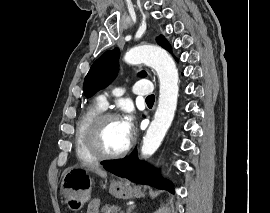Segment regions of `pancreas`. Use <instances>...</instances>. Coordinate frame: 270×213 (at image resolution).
I'll list each match as a JSON object with an SVG mask.
<instances>
[{
    "instance_id": "1",
    "label": "pancreas",
    "mask_w": 270,
    "mask_h": 213,
    "mask_svg": "<svg viewBox=\"0 0 270 213\" xmlns=\"http://www.w3.org/2000/svg\"><path fill=\"white\" fill-rule=\"evenodd\" d=\"M101 213H117L114 206L104 205L101 209Z\"/></svg>"
}]
</instances>
